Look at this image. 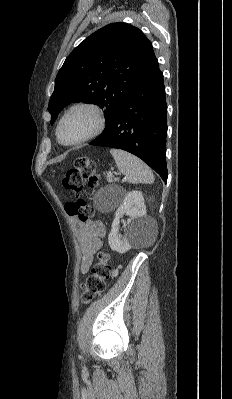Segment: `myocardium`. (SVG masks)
<instances>
[{"instance_id": "f54148a6", "label": "myocardium", "mask_w": 232, "mask_h": 399, "mask_svg": "<svg viewBox=\"0 0 232 399\" xmlns=\"http://www.w3.org/2000/svg\"><path fill=\"white\" fill-rule=\"evenodd\" d=\"M78 108H86L93 112V114L95 116V126H94L93 130L85 137H83L77 141L67 142L63 139V137L61 135V125H62L64 119L73 110L78 109ZM106 124H107V119H106L105 112L99 105L94 104V103H88V102H80V103H76V104L70 106L63 113V115L61 116V118L57 124V127H56V136H57V139L59 140V142L63 145H66V146L79 145V144H82V143L89 141V140L95 138L96 136L100 135L106 128Z\"/></svg>"}]
</instances>
